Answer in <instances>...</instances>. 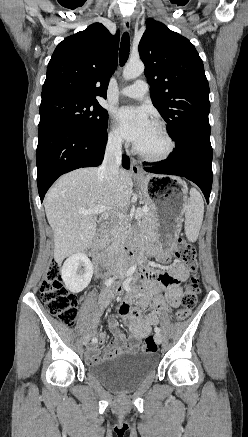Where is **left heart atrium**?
Listing matches in <instances>:
<instances>
[{
    "label": "left heart atrium",
    "instance_id": "1",
    "mask_svg": "<svg viewBox=\"0 0 248 437\" xmlns=\"http://www.w3.org/2000/svg\"><path fill=\"white\" fill-rule=\"evenodd\" d=\"M121 136L137 145L150 129L152 122L142 107H122L115 113Z\"/></svg>",
    "mask_w": 248,
    "mask_h": 437
}]
</instances>
